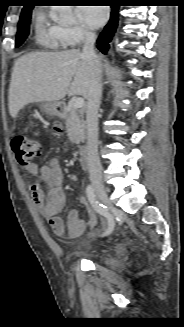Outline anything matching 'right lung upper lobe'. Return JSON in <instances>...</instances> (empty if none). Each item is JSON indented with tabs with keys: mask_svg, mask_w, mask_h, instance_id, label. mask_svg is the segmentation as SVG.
I'll list each match as a JSON object with an SVG mask.
<instances>
[{
	"mask_svg": "<svg viewBox=\"0 0 184 327\" xmlns=\"http://www.w3.org/2000/svg\"><path fill=\"white\" fill-rule=\"evenodd\" d=\"M30 9H33V6L25 5L24 8L22 9V12L28 11Z\"/></svg>",
	"mask_w": 184,
	"mask_h": 327,
	"instance_id": "cb5924a9",
	"label": "right lung upper lobe"
}]
</instances>
